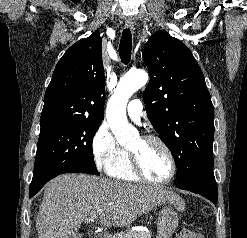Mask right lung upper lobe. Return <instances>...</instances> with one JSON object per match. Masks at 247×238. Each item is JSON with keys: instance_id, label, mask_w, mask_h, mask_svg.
Here are the masks:
<instances>
[{"instance_id": "right-lung-upper-lobe-1", "label": "right lung upper lobe", "mask_w": 247, "mask_h": 238, "mask_svg": "<svg viewBox=\"0 0 247 238\" xmlns=\"http://www.w3.org/2000/svg\"><path fill=\"white\" fill-rule=\"evenodd\" d=\"M100 33L72 45L57 63L45 92L41 127L104 118L105 75Z\"/></svg>"}]
</instances>
